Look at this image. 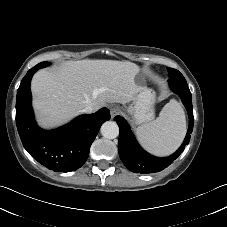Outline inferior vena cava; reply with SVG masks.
Masks as SVG:
<instances>
[{
  "instance_id": "obj_1",
  "label": "inferior vena cava",
  "mask_w": 227,
  "mask_h": 227,
  "mask_svg": "<svg viewBox=\"0 0 227 227\" xmlns=\"http://www.w3.org/2000/svg\"><path fill=\"white\" fill-rule=\"evenodd\" d=\"M96 111V108L92 105H87L86 107H84V109L82 110V112L84 113H93Z\"/></svg>"
}]
</instances>
